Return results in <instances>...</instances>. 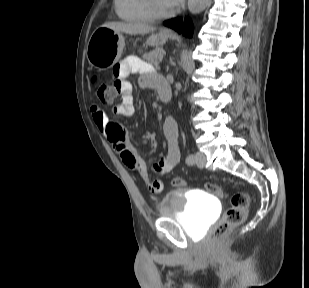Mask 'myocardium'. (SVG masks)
Masks as SVG:
<instances>
[{
	"label": "myocardium",
	"instance_id": "myocardium-1",
	"mask_svg": "<svg viewBox=\"0 0 309 288\" xmlns=\"http://www.w3.org/2000/svg\"><path fill=\"white\" fill-rule=\"evenodd\" d=\"M147 7L151 13V15L155 19L165 18L172 14L171 10H165L159 5L158 0H146Z\"/></svg>",
	"mask_w": 309,
	"mask_h": 288
}]
</instances>
